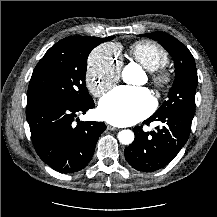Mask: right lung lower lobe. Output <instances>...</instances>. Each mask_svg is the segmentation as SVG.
Listing matches in <instances>:
<instances>
[{"mask_svg":"<svg viewBox=\"0 0 217 217\" xmlns=\"http://www.w3.org/2000/svg\"><path fill=\"white\" fill-rule=\"evenodd\" d=\"M94 106L93 99L79 105L63 102L27 104L26 117L34 148L54 170L74 173L91 160L106 125L93 121L79 122L76 117Z\"/></svg>","mask_w":217,"mask_h":217,"instance_id":"98d812e1","label":"right lung lower lobe"}]
</instances>
